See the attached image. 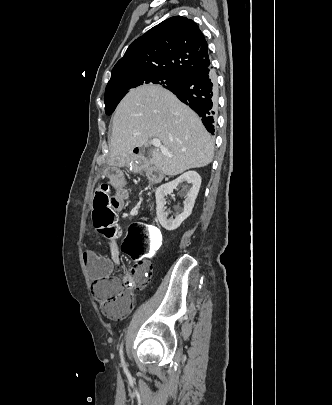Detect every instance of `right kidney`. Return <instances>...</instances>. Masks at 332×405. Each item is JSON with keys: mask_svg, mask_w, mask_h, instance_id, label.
Wrapping results in <instances>:
<instances>
[{"mask_svg": "<svg viewBox=\"0 0 332 405\" xmlns=\"http://www.w3.org/2000/svg\"><path fill=\"white\" fill-rule=\"evenodd\" d=\"M183 182L191 183L192 187L189 193L185 196L184 210L181 214L175 216V218H168V213L165 211V197L173 192L179 184ZM201 186V177L195 171H188L179 176L177 179L162 184L156 190V215L161 226L167 231H173L177 229L184 220H186L192 213L195 200L198 196Z\"/></svg>", "mask_w": 332, "mask_h": 405, "instance_id": "right-kidney-1", "label": "right kidney"}]
</instances>
